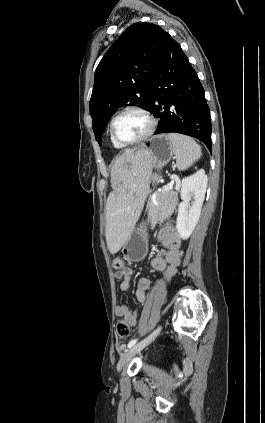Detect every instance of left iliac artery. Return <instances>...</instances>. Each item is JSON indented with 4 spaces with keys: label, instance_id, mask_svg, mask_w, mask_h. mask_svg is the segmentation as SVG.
Wrapping results in <instances>:
<instances>
[{
    "label": "left iliac artery",
    "instance_id": "left-iliac-artery-1",
    "mask_svg": "<svg viewBox=\"0 0 265 423\" xmlns=\"http://www.w3.org/2000/svg\"><path fill=\"white\" fill-rule=\"evenodd\" d=\"M137 341H138V339H133V340H131V341L128 343L127 347H128V348H130V347L134 346V345L136 344V342H137Z\"/></svg>",
    "mask_w": 265,
    "mask_h": 423
}]
</instances>
